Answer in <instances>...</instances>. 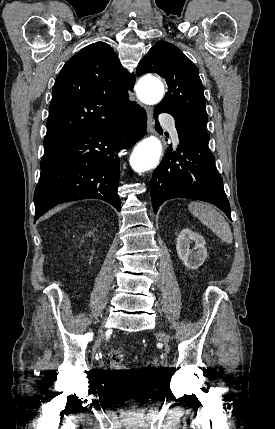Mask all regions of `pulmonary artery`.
Listing matches in <instances>:
<instances>
[{
	"label": "pulmonary artery",
	"mask_w": 275,
	"mask_h": 429,
	"mask_svg": "<svg viewBox=\"0 0 275 429\" xmlns=\"http://www.w3.org/2000/svg\"><path fill=\"white\" fill-rule=\"evenodd\" d=\"M161 121L164 125H166L168 127L174 142L178 143L179 142L178 133H177V130L175 128L173 120L169 116L163 115L161 117Z\"/></svg>",
	"instance_id": "1"
}]
</instances>
